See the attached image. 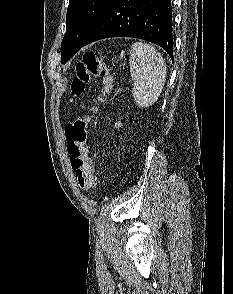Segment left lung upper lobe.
I'll list each match as a JSON object with an SVG mask.
<instances>
[{
    "instance_id": "obj_1",
    "label": "left lung upper lobe",
    "mask_w": 233,
    "mask_h": 294,
    "mask_svg": "<svg viewBox=\"0 0 233 294\" xmlns=\"http://www.w3.org/2000/svg\"><path fill=\"white\" fill-rule=\"evenodd\" d=\"M110 0H70L66 33L61 43V62L79 51Z\"/></svg>"
}]
</instances>
